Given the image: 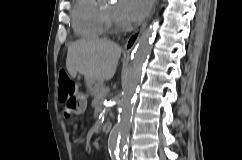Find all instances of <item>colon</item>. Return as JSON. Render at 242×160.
Returning a JSON list of instances; mask_svg holds the SVG:
<instances>
[{"label": "colon", "mask_w": 242, "mask_h": 160, "mask_svg": "<svg viewBox=\"0 0 242 160\" xmlns=\"http://www.w3.org/2000/svg\"><path fill=\"white\" fill-rule=\"evenodd\" d=\"M59 100L64 104V114L72 116L77 113L78 107L83 102L84 96L77 93L75 83L69 78L66 72H59Z\"/></svg>", "instance_id": "colon-1"}]
</instances>
